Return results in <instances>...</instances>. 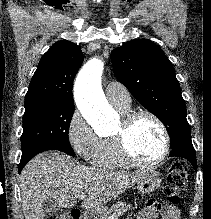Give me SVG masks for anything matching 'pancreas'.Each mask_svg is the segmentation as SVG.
Segmentation results:
<instances>
[{"mask_svg": "<svg viewBox=\"0 0 211 219\" xmlns=\"http://www.w3.org/2000/svg\"><path fill=\"white\" fill-rule=\"evenodd\" d=\"M131 208V204H126L125 202L118 201L114 204L108 212L100 216L99 219H118L120 215H123Z\"/></svg>", "mask_w": 211, "mask_h": 219, "instance_id": "obj_1", "label": "pancreas"}]
</instances>
